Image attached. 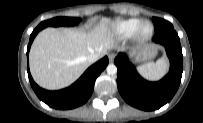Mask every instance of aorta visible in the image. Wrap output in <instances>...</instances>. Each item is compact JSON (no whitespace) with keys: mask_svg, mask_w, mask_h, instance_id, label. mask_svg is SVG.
I'll return each instance as SVG.
<instances>
[{"mask_svg":"<svg viewBox=\"0 0 203 123\" xmlns=\"http://www.w3.org/2000/svg\"><path fill=\"white\" fill-rule=\"evenodd\" d=\"M106 70H107V73L110 75H114L117 73V67L115 64H109Z\"/></svg>","mask_w":203,"mask_h":123,"instance_id":"1","label":"aorta"}]
</instances>
